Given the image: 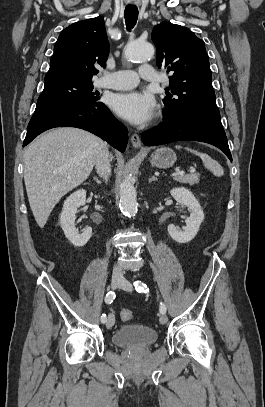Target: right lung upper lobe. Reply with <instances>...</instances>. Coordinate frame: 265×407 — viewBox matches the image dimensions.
<instances>
[{"label": "right lung upper lobe", "instance_id": "right-lung-upper-lobe-1", "mask_svg": "<svg viewBox=\"0 0 265 407\" xmlns=\"http://www.w3.org/2000/svg\"><path fill=\"white\" fill-rule=\"evenodd\" d=\"M108 54L103 17L76 22L60 33L45 80L91 81L98 72L94 64L105 66Z\"/></svg>", "mask_w": 265, "mask_h": 407}]
</instances>
